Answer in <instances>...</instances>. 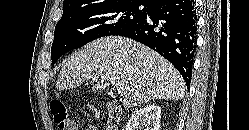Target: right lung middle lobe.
<instances>
[{"label":"right lung middle lobe","mask_w":249,"mask_h":130,"mask_svg":"<svg viewBox=\"0 0 249 130\" xmlns=\"http://www.w3.org/2000/svg\"><path fill=\"white\" fill-rule=\"evenodd\" d=\"M144 5L142 10L139 9ZM149 4L142 1L112 0L63 12L55 27L51 48L52 64L65 53L97 38L119 35L146 18Z\"/></svg>","instance_id":"1"}]
</instances>
